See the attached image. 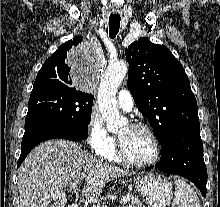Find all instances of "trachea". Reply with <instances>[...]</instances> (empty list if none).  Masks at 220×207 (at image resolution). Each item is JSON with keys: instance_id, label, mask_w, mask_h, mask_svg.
Wrapping results in <instances>:
<instances>
[{"instance_id": "1", "label": "trachea", "mask_w": 220, "mask_h": 207, "mask_svg": "<svg viewBox=\"0 0 220 207\" xmlns=\"http://www.w3.org/2000/svg\"><path fill=\"white\" fill-rule=\"evenodd\" d=\"M120 28V17L110 16L109 17V36L114 39L119 32Z\"/></svg>"}]
</instances>
